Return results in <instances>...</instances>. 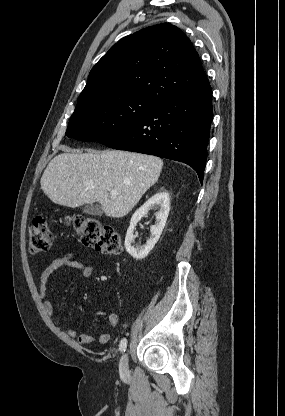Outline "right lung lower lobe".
I'll return each mask as SVG.
<instances>
[{"label": "right lung lower lobe", "instance_id": "obj_1", "mask_svg": "<svg viewBox=\"0 0 285 416\" xmlns=\"http://www.w3.org/2000/svg\"><path fill=\"white\" fill-rule=\"evenodd\" d=\"M212 119L209 84L157 106L136 123L98 142L186 163L202 183Z\"/></svg>", "mask_w": 285, "mask_h": 416}]
</instances>
